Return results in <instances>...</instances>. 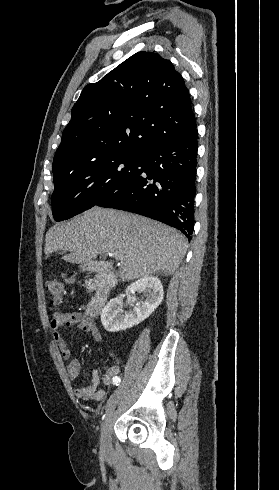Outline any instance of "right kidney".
I'll list each match as a JSON object with an SVG mask.
<instances>
[{
  "instance_id": "1",
  "label": "right kidney",
  "mask_w": 279,
  "mask_h": 490,
  "mask_svg": "<svg viewBox=\"0 0 279 490\" xmlns=\"http://www.w3.org/2000/svg\"><path fill=\"white\" fill-rule=\"evenodd\" d=\"M126 292H143L146 300L134 306L132 312H124L120 298H113L101 312V322L107 332H120L137 326L155 312L163 300V286L157 276H142L127 286Z\"/></svg>"
}]
</instances>
